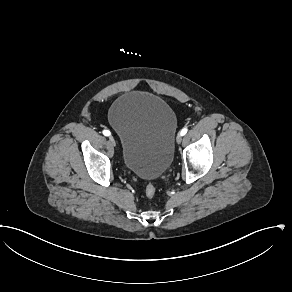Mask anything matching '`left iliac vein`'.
Listing matches in <instances>:
<instances>
[{
	"label": "left iliac vein",
	"mask_w": 292,
	"mask_h": 292,
	"mask_svg": "<svg viewBox=\"0 0 292 292\" xmlns=\"http://www.w3.org/2000/svg\"><path fill=\"white\" fill-rule=\"evenodd\" d=\"M182 140H183V137H182V135H178L177 137H176V142L178 143V144H180L181 142H182Z\"/></svg>",
	"instance_id": "left-iliac-vein-1"
}]
</instances>
